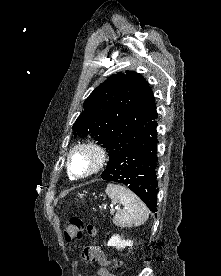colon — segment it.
<instances>
[{"instance_id": "obj_1", "label": "colon", "mask_w": 221, "mask_h": 276, "mask_svg": "<svg viewBox=\"0 0 221 276\" xmlns=\"http://www.w3.org/2000/svg\"><path fill=\"white\" fill-rule=\"evenodd\" d=\"M85 236H96V230L92 224L85 223L78 217H72L64 224V239L66 242L81 240ZM119 265L120 262L118 260H114L107 263V269L112 271L115 270Z\"/></svg>"}]
</instances>
